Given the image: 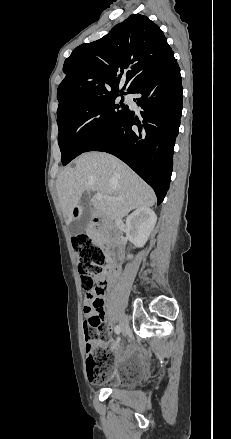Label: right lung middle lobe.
<instances>
[{"label": "right lung middle lobe", "instance_id": "1", "mask_svg": "<svg viewBox=\"0 0 231 439\" xmlns=\"http://www.w3.org/2000/svg\"><path fill=\"white\" fill-rule=\"evenodd\" d=\"M118 95L79 102L57 114L58 143L63 165L85 152L124 115L128 106L116 101Z\"/></svg>", "mask_w": 231, "mask_h": 439}]
</instances>
